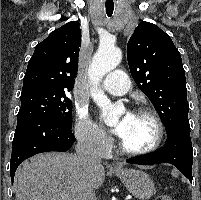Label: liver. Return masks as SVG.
Returning <instances> with one entry per match:
<instances>
[{"label":"liver","instance_id":"obj_1","mask_svg":"<svg viewBox=\"0 0 201 200\" xmlns=\"http://www.w3.org/2000/svg\"><path fill=\"white\" fill-rule=\"evenodd\" d=\"M16 177V200H79L83 181L98 189L105 170L99 164L84 172L77 167L76 155L48 152L25 161Z\"/></svg>","mask_w":201,"mask_h":200}]
</instances>
